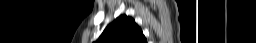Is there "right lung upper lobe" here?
<instances>
[{
  "label": "right lung upper lobe",
  "instance_id": "1",
  "mask_svg": "<svg viewBox=\"0 0 256 43\" xmlns=\"http://www.w3.org/2000/svg\"><path fill=\"white\" fill-rule=\"evenodd\" d=\"M96 43H147V40L131 17L120 15L106 27Z\"/></svg>",
  "mask_w": 256,
  "mask_h": 43
}]
</instances>
